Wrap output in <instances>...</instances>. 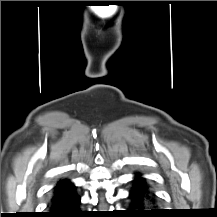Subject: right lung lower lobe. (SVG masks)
Wrapping results in <instances>:
<instances>
[{
  "label": "right lung lower lobe",
  "mask_w": 217,
  "mask_h": 217,
  "mask_svg": "<svg viewBox=\"0 0 217 217\" xmlns=\"http://www.w3.org/2000/svg\"><path fill=\"white\" fill-rule=\"evenodd\" d=\"M80 196L75 187L53 194L49 203V212L41 217H86L87 214L80 210Z\"/></svg>",
  "instance_id": "obj_1"
}]
</instances>
